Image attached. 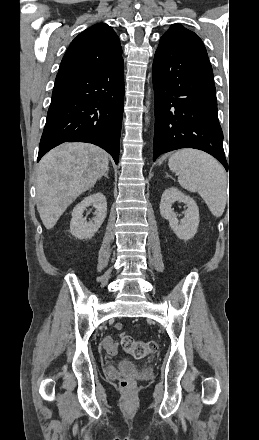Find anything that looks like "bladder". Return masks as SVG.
Here are the masks:
<instances>
[{
  "mask_svg": "<svg viewBox=\"0 0 259 440\" xmlns=\"http://www.w3.org/2000/svg\"><path fill=\"white\" fill-rule=\"evenodd\" d=\"M122 367L125 369H133L135 366L132 363H123Z\"/></svg>",
  "mask_w": 259,
  "mask_h": 440,
  "instance_id": "bladder-1",
  "label": "bladder"
}]
</instances>
